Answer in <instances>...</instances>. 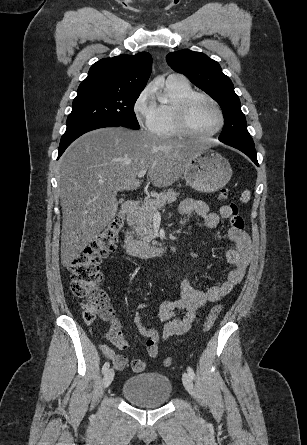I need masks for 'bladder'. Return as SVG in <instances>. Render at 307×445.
<instances>
[{"mask_svg":"<svg viewBox=\"0 0 307 445\" xmlns=\"http://www.w3.org/2000/svg\"><path fill=\"white\" fill-rule=\"evenodd\" d=\"M122 394L138 407L158 408L170 400L172 384L163 374L145 372L129 377L122 386Z\"/></svg>","mask_w":307,"mask_h":445,"instance_id":"31cf9c89","label":"bladder"}]
</instances>
